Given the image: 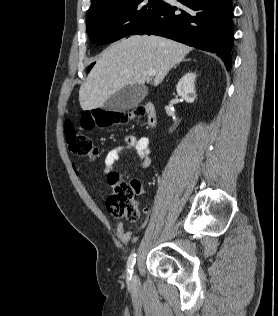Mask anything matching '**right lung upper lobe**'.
I'll return each mask as SVG.
<instances>
[{"label":"right lung upper lobe","mask_w":278,"mask_h":316,"mask_svg":"<svg viewBox=\"0 0 278 316\" xmlns=\"http://www.w3.org/2000/svg\"><path fill=\"white\" fill-rule=\"evenodd\" d=\"M107 1H109V0H91V7L89 9H91L97 5H100L102 3H105Z\"/></svg>","instance_id":"1"}]
</instances>
